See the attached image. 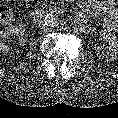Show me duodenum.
Wrapping results in <instances>:
<instances>
[{
  "instance_id": "410a0bca",
  "label": "duodenum",
  "mask_w": 118,
  "mask_h": 118,
  "mask_svg": "<svg viewBox=\"0 0 118 118\" xmlns=\"http://www.w3.org/2000/svg\"><path fill=\"white\" fill-rule=\"evenodd\" d=\"M35 15H39V13L38 12H35Z\"/></svg>"
}]
</instances>
